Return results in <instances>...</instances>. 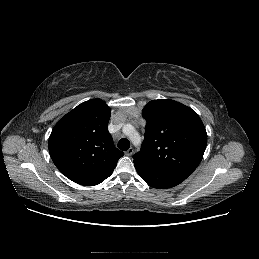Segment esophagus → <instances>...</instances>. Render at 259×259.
I'll return each instance as SVG.
<instances>
[{"instance_id":"1","label":"esophagus","mask_w":259,"mask_h":259,"mask_svg":"<svg viewBox=\"0 0 259 259\" xmlns=\"http://www.w3.org/2000/svg\"><path fill=\"white\" fill-rule=\"evenodd\" d=\"M133 153H134V149H133L132 147H130V148L125 152V154H126L127 156H131Z\"/></svg>"}]
</instances>
